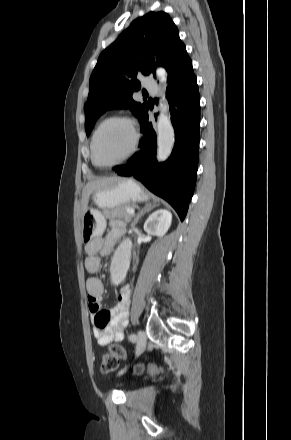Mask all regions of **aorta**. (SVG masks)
Returning a JSON list of instances; mask_svg holds the SVG:
<instances>
[{"label": "aorta", "instance_id": "obj_1", "mask_svg": "<svg viewBox=\"0 0 291 440\" xmlns=\"http://www.w3.org/2000/svg\"><path fill=\"white\" fill-rule=\"evenodd\" d=\"M157 77L164 82L167 73L163 68L157 69ZM157 131V159L165 161L171 154L174 144V129L168 114V105L160 103V115L156 125ZM132 241L129 238L123 240L118 246L113 260L112 281L118 283L124 279L130 264Z\"/></svg>", "mask_w": 291, "mask_h": 440}]
</instances>
